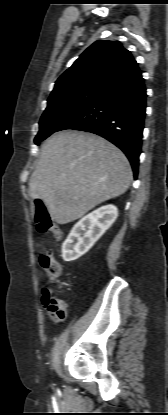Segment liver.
<instances>
[{
    "instance_id": "1",
    "label": "liver",
    "mask_w": 168,
    "mask_h": 415,
    "mask_svg": "<svg viewBox=\"0 0 168 415\" xmlns=\"http://www.w3.org/2000/svg\"><path fill=\"white\" fill-rule=\"evenodd\" d=\"M133 174L124 153L106 139L79 131L49 137L29 182L58 224L81 218L98 204L126 192Z\"/></svg>"
}]
</instances>
